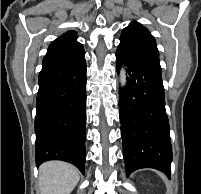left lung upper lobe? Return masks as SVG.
<instances>
[{
	"label": "left lung upper lobe",
	"instance_id": "obj_1",
	"mask_svg": "<svg viewBox=\"0 0 201 194\" xmlns=\"http://www.w3.org/2000/svg\"><path fill=\"white\" fill-rule=\"evenodd\" d=\"M120 44H124L133 50L159 57V51L154 37L138 22H131L123 29L120 37Z\"/></svg>",
	"mask_w": 201,
	"mask_h": 194
}]
</instances>
